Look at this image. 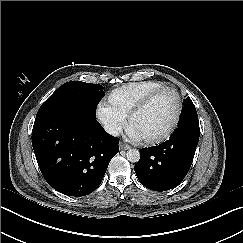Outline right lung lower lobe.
<instances>
[{
  "label": "right lung lower lobe",
  "mask_w": 243,
  "mask_h": 243,
  "mask_svg": "<svg viewBox=\"0 0 243 243\" xmlns=\"http://www.w3.org/2000/svg\"><path fill=\"white\" fill-rule=\"evenodd\" d=\"M118 138L107 134L80 106L58 104L37 113L32 145L44 179L55 190L81 197L102 182L119 152Z\"/></svg>",
  "instance_id": "obj_1"
}]
</instances>
